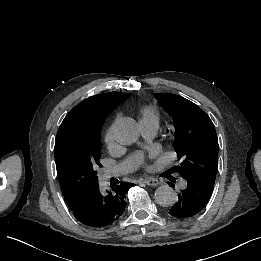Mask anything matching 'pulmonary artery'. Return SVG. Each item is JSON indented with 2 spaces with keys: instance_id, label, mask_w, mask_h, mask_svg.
<instances>
[{
  "instance_id": "pulmonary-artery-1",
  "label": "pulmonary artery",
  "mask_w": 261,
  "mask_h": 261,
  "mask_svg": "<svg viewBox=\"0 0 261 261\" xmlns=\"http://www.w3.org/2000/svg\"><path fill=\"white\" fill-rule=\"evenodd\" d=\"M140 126L142 129V132L147 135H152L155 133L157 129V124L153 122H140ZM138 149L143 154H148L153 149V144L148 139H143L138 144ZM128 166L126 164H120L116 167H114L111 170H108V174L111 176H118L124 173L127 170Z\"/></svg>"
}]
</instances>
